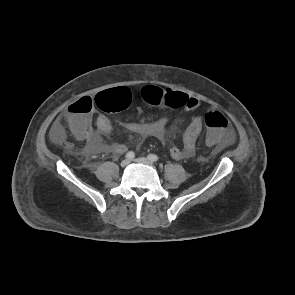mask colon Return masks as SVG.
I'll return each mask as SVG.
<instances>
[{"label": "colon", "instance_id": "colon-1", "mask_svg": "<svg viewBox=\"0 0 295 295\" xmlns=\"http://www.w3.org/2000/svg\"><path fill=\"white\" fill-rule=\"evenodd\" d=\"M143 99L155 106L181 108L187 103L188 96L182 92L146 86L142 90ZM132 101V93L127 87H115L98 93L94 98L83 97L68 107V122L77 128L81 119L89 115L94 107L103 112H117L125 109ZM204 121L207 127V145H216L230 137L231 131L226 117L218 111H210Z\"/></svg>", "mask_w": 295, "mask_h": 295}]
</instances>
